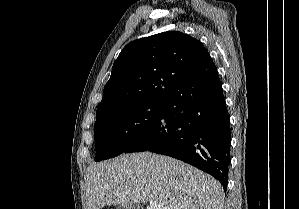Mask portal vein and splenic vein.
<instances>
[{
  "instance_id": "1",
  "label": "portal vein and splenic vein",
  "mask_w": 299,
  "mask_h": 209,
  "mask_svg": "<svg viewBox=\"0 0 299 209\" xmlns=\"http://www.w3.org/2000/svg\"><path fill=\"white\" fill-rule=\"evenodd\" d=\"M149 206H150V209H169L168 207H162V206L158 205L157 202H155V201H150Z\"/></svg>"
}]
</instances>
